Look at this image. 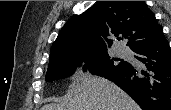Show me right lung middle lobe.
Here are the masks:
<instances>
[{"label":"right lung middle lobe","instance_id":"dd1d6c3e","mask_svg":"<svg viewBox=\"0 0 171 110\" xmlns=\"http://www.w3.org/2000/svg\"><path fill=\"white\" fill-rule=\"evenodd\" d=\"M82 58L85 59L84 69H89L91 73L104 76L106 73L114 71L128 64V62L110 58L107 50H97L82 52L73 55H62L53 58L49 62L45 81L51 82L57 79L66 78L78 66ZM118 61V62H116Z\"/></svg>","mask_w":171,"mask_h":110}]
</instances>
